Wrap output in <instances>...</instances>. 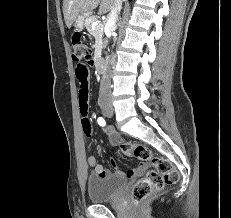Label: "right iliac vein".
<instances>
[{
  "label": "right iliac vein",
  "instance_id": "right-iliac-vein-1",
  "mask_svg": "<svg viewBox=\"0 0 231 218\" xmlns=\"http://www.w3.org/2000/svg\"><path fill=\"white\" fill-rule=\"evenodd\" d=\"M101 109H102L103 114L106 115L107 117H110L113 115V108L111 105H103Z\"/></svg>",
  "mask_w": 231,
  "mask_h": 218
}]
</instances>
